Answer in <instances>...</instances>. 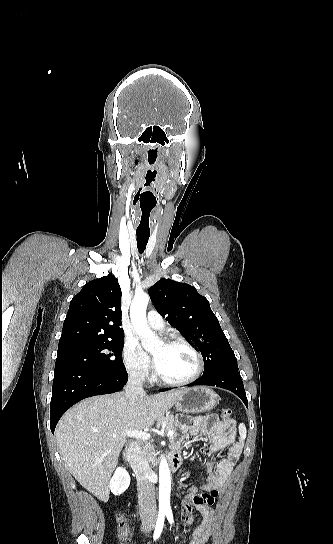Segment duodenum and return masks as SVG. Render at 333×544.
I'll return each mask as SVG.
<instances>
[{
    "label": "duodenum",
    "mask_w": 333,
    "mask_h": 544,
    "mask_svg": "<svg viewBox=\"0 0 333 544\" xmlns=\"http://www.w3.org/2000/svg\"><path fill=\"white\" fill-rule=\"evenodd\" d=\"M125 461L131 468L138 480H143L146 477L145 471L137 459V448L130 445L125 449ZM168 466L171 471L177 470L181 465V455L177 451H173L167 458Z\"/></svg>",
    "instance_id": "410a0bca"
}]
</instances>
